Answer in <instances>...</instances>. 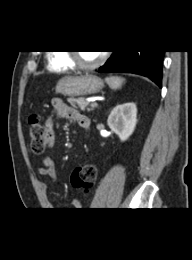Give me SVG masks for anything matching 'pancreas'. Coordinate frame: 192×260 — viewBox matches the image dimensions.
<instances>
[{
  "instance_id": "cf45deb5",
  "label": "pancreas",
  "mask_w": 192,
  "mask_h": 260,
  "mask_svg": "<svg viewBox=\"0 0 192 260\" xmlns=\"http://www.w3.org/2000/svg\"><path fill=\"white\" fill-rule=\"evenodd\" d=\"M68 103L74 107V108H78L80 109L81 111H92L93 110V107H88L89 106V102L86 101L85 99L83 98H79V99H76V98H69L68 100Z\"/></svg>"
}]
</instances>
